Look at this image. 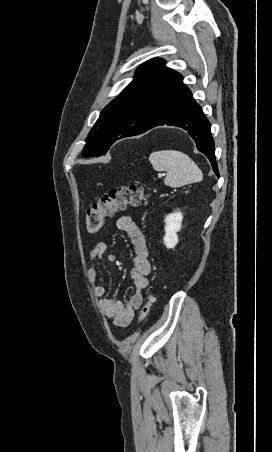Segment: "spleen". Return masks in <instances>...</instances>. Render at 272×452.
<instances>
[{"label":"spleen","mask_w":272,"mask_h":452,"mask_svg":"<svg viewBox=\"0 0 272 452\" xmlns=\"http://www.w3.org/2000/svg\"><path fill=\"white\" fill-rule=\"evenodd\" d=\"M150 163L154 170L166 171L164 183L170 187H180L203 178L202 171L186 154L176 150H163L151 153Z\"/></svg>","instance_id":"1"}]
</instances>
